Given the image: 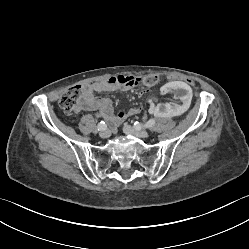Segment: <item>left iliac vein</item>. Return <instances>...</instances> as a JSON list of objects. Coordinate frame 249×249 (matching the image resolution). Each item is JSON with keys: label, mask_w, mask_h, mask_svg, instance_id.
Wrapping results in <instances>:
<instances>
[{"label": "left iliac vein", "mask_w": 249, "mask_h": 249, "mask_svg": "<svg viewBox=\"0 0 249 249\" xmlns=\"http://www.w3.org/2000/svg\"><path fill=\"white\" fill-rule=\"evenodd\" d=\"M123 131L125 134H128V135H134V136H137L139 138H146L148 136V131L147 130H134L131 126L125 124L123 126Z\"/></svg>", "instance_id": "left-iliac-vein-1"}]
</instances>
